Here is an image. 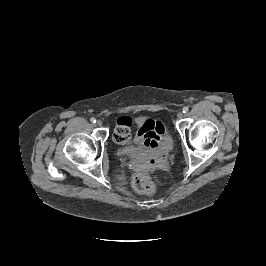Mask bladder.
I'll use <instances>...</instances> for the list:
<instances>
[{
	"instance_id": "31cf9c89",
	"label": "bladder",
	"mask_w": 266,
	"mask_h": 266,
	"mask_svg": "<svg viewBox=\"0 0 266 266\" xmlns=\"http://www.w3.org/2000/svg\"><path fill=\"white\" fill-rule=\"evenodd\" d=\"M173 148V140L169 134H166L164 140L160 146V153H168ZM125 156L129 158H139L144 154V151L140 148L129 146L124 150Z\"/></svg>"
}]
</instances>
